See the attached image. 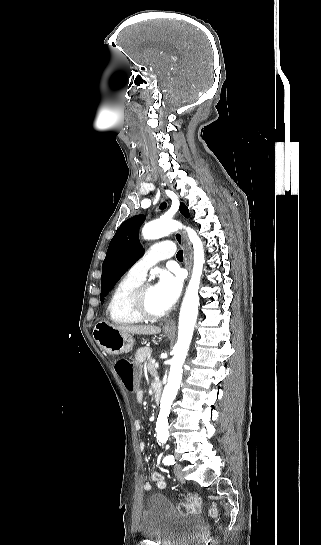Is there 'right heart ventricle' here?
<instances>
[{
	"label": "right heart ventricle",
	"instance_id": "right-heart-ventricle-1",
	"mask_svg": "<svg viewBox=\"0 0 321 545\" xmlns=\"http://www.w3.org/2000/svg\"><path fill=\"white\" fill-rule=\"evenodd\" d=\"M130 274L123 275L114 287L106 307L109 321L116 326H130L141 320L135 317L128 309L129 295L132 290L142 283Z\"/></svg>",
	"mask_w": 321,
	"mask_h": 545
}]
</instances>
